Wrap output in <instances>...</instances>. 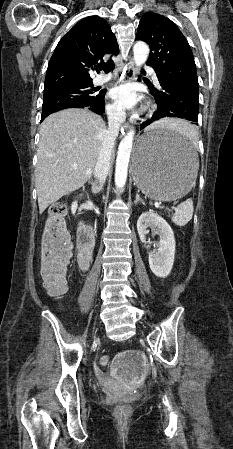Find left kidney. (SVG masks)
Listing matches in <instances>:
<instances>
[{
  "mask_svg": "<svg viewBox=\"0 0 233 449\" xmlns=\"http://www.w3.org/2000/svg\"><path fill=\"white\" fill-rule=\"evenodd\" d=\"M150 227L160 236L157 250L148 252L151 271L160 278L167 277L173 267L175 256V238L170 225L158 214L143 213L137 221V231L142 243H147L146 232Z\"/></svg>",
  "mask_w": 233,
  "mask_h": 449,
  "instance_id": "1",
  "label": "left kidney"
}]
</instances>
